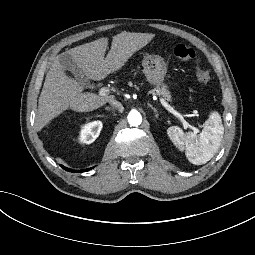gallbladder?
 Instances as JSON below:
<instances>
[{
  "label": "gallbladder",
  "mask_w": 255,
  "mask_h": 255,
  "mask_svg": "<svg viewBox=\"0 0 255 255\" xmlns=\"http://www.w3.org/2000/svg\"><path fill=\"white\" fill-rule=\"evenodd\" d=\"M57 59L63 69L70 71L80 84L84 85L86 88L89 87L90 81L84 77L82 69L77 65L76 61L69 53H61L57 56Z\"/></svg>",
  "instance_id": "1"
}]
</instances>
